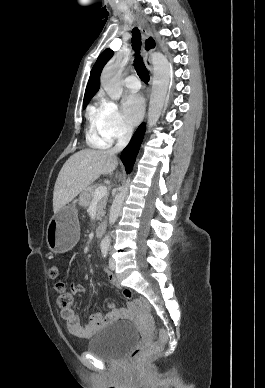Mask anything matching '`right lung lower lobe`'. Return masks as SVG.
Listing matches in <instances>:
<instances>
[{"instance_id": "obj_1", "label": "right lung lower lobe", "mask_w": 265, "mask_h": 388, "mask_svg": "<svg viewBox=\"0 0 265 388\" xmlns=\"http://www.w3.org/2000/svg\"><path fill=\"white\" fill-rule=\"evenodd\" d=\"M144 133H145V124L142 123L137 129V131L134 133L130 143L122 151L121 160L124 166L126 167L127 173H130L132 171L136 156L138 154L140 145L144 137Z\"/></svg>"}]
</instances>
